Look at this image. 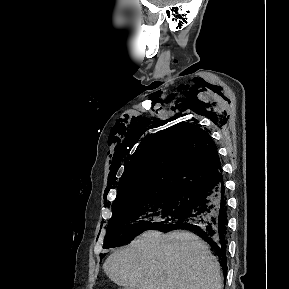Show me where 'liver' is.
I'll return each instance as SVG.
<instances>
[{"mask_svg": "<svg viewBox=\"0 0 289 289\" xmlns=\"http://www.w3.org/2000/svg\"><path fill=\"white\" fill-rule=\"evenodd\" d=\"M107 277L124 289H222L220 265L195 234L142 233L103 265Z\"/></svg>", "mask_w": 289, "mask_h": 289, "instance_id": "6515ba94", "label": "liver"}]
</instances>
